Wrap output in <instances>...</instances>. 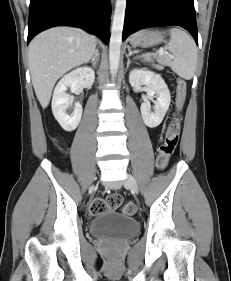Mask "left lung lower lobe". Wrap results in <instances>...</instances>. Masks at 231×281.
<instances>
[{"label": "left lung lower lobe", "instance_id": "obj_1", "mask_svg": "<svg viewBox=\"0 0 231 281\" xmlns=\"http://www.w3.org/2000/svg\"><path fill=\"white\" fill-rule=\"evenodd\" d=\"M167 25L183 27L198 45L193 0H127L122 38L143 28Z\"/></svg>", "mask_w": 231, "mask_h": 281}]
</instances>
